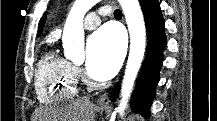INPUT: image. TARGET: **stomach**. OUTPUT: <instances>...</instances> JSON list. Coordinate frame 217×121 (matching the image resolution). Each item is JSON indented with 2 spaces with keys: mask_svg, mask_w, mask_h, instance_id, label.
I'll return each instance as SVG.
<instances>
[{
  "mask_svg": "<svg viewBox=\"0 0 217 121\" xmlns=\"http://www.w3.org/2000/svg\"><path fill=\"white\" fill-rule=\"evenodd\" d=\"M98 110H100V111H104V108H98Z\"/></svg>",
  "mask_w": 217,
  "mask_h": 121,
  "instance_id": "0dacf381",
  "label": "stomach"
}]
</instances>
